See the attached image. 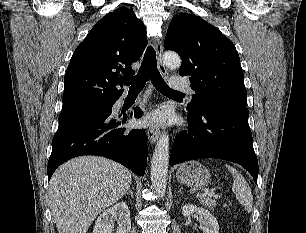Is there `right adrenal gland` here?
Listing matches in <instances>:
<instances>
[{
  "label": "right adrenal gland",
  "instance_id": "obj_1",
  "mask_svg": "<svg viewBox=\"0 0 306 233\" xmlns=\"http://www.w3.org/2000/svg\"><path fill=\"white\" fill-rule=\"evenodd\" d=\"M127 195H130L131 198H133V192H132L131 187L128 188Z\"/></svg>",
  "mask_w": 306,
  "mask_h": 233
}]
</instances>
